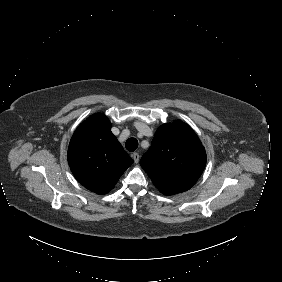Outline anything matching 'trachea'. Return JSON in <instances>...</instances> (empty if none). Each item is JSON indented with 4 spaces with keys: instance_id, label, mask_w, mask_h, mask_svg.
Instances as JSON below:
<instances>
[{
    "instance_id": "3493384b",
    "label": "trachea",
    "mask_w": 282,
    "mask_h": 282,
    "mask_svg": "<svg viewBox=\"0 0 282 282\" xmlns=\"http://www.w3.org/2000/svg\"><path fill=\"white\" fill-rule=\"evenodd\" d=\"M125 146L129 152H134L138 147V140L136 138H129Z\"/></svg>"
}]
</instances>
